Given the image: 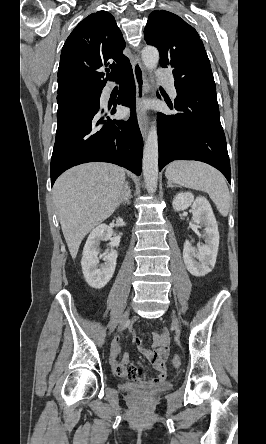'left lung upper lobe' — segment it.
Listing matches in <instances>:
<instances>
[{
    "label": "left lung upper lobe",
    "instance_id": "left-lung-upper-lobe-1",
    "mask_svg": "<svg viewBox=\"0 0 266 444\" xmlns=\"http://www.w3.org/2000/svg\"><path fill=\"white\" fill-rule=\"evenodd\" d=\"M147 44L160 53V65L173 68L176 90H214L216 86L197 31L179 16L155 10L144 29Z\"/></svg>",
    "mask_w": 266,
    "mask_h": 444
}]
</instances>
